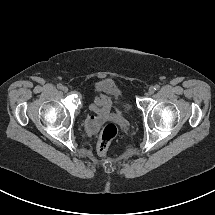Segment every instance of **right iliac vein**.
Wrapping results in <instances>:
<instances>
[{
  "label": "right iliac vein",
  "instance_id": "obj_1",
  "mask_svg": "<svg viewBox=\"0 0 215 215\" xmlns=\"http://www.w3.org/2000/svg\"><path fill=\"white\" fill-rule=\"evenodd\" d=\"M62 90H63L64 92H67V91H68V88H67L66 86H63V87H62Z\"/></svg>",
  "mask_w": 215,
  "mask_h": 215
}]
</instances>
